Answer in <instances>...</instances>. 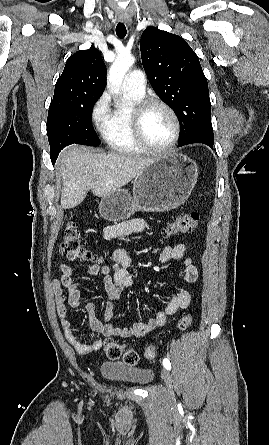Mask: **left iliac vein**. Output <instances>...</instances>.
I'll return each mask as SVG.
<instances>
[{
    "label": "left iliac vein",
    "instance_id": "obj_1",
    "mask_svg": "<svg viewBox=\"0 0 269 445\" xmlns=\"http://www.w3.org/2000/svg\"><path fill=\"white\" fill-rule=\"evenodd\" d=\"M161 377L165 383L167 394L169 397L173 395L172 384H171V375L167 369H163L161 372Z\"/></svg>",
    "mask_w": 269,
    "mask_h": 445
}]
</instances>
